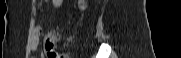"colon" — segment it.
Returning a JSON list of instances; mask_svg holds the SVG:
<instances>
[{
    "mask_svg": "<svg viewBox=\"0 0 181 58\" xmlns=\"http://www.w3.org/2000/svg\"><path fill=\"white\" fill-rule=\"evenodd\" d=\"M53 48H54V39L46 38L45 49H46L47 56L49 58H67L65 54H57L56 52H54Z\"/></svg>",
    "mask_w": 181,
    "mask_h": 58,
    "instance_id": "1",
    "label": "colon"
}]
</instances>
